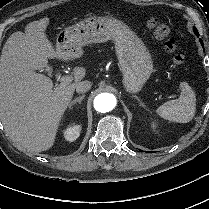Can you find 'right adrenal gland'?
<instances>
[{"label":"right adrenal gland","mask_w":209,"mask_h":209,"mask_svg":"<svg viewBox=\"0 0 209 209\" xmlns=\"http://www.w3.org/2000/svg\"><path fill=\"white\" fill-rule=\"evenodd\" d=\"M85 95L79 96L77 98H75L74 100H72L69 104V109L72 108L73 105H75L76 103L81 104L82 100L84 99Z\"/></svg>","instance_id":"obj_1"}]
</instances>
